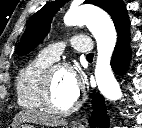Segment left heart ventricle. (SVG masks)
<instances>
[{"label":"left heart ventricle","mask_w":142,"mask_h":128,"mask_svg":"<svg viewBox=\"0 0 142 128\" xmlns=\"http://www.w3.org/2000/svg\"><path fill=\"white\" fill-rule=\"evenodd\" d=\"M68 70L57 69L53 75L52 95L54 104L61 109L70 107L77 98L78 91L68 81Z\"/></svg>","instance_id":"left-heart-ventricle-1"}]
</instances>
